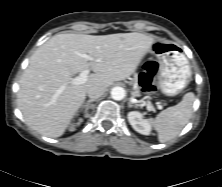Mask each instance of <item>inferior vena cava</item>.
I'll list each match as a JSON object with an SVG mask.
<instances>
[{
	"label": "inferior vena cava",
	"mask_w": 222,
	"mask_h": 187,
	"mask_svg": "<svg viewBox=\"0 0 222 187\" xmlns=\"http://www.w3.org/2000/svg\"><path fill=\"white\" fill-rule=\"evenodd\" d=\"M105 92V88L102 86H92L88 89L87 94L91 99H97L101 97Z\"/></svg>",
	"instance_id": "602c4592"
}]
</instances>
